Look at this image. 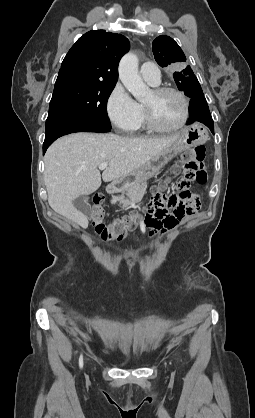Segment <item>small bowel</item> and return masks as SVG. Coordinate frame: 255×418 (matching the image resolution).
Segmentation results:
<instances>
[{
  "mask_svg": "<svg viewBox=\"0 0 255 418\" xmlns=\"http://www.w3.org/2000/svg\"><path fill=\"white\" fill-rule=\"evenodd\" d=\"M180 221H181V220H180ZM180 221H179V222H180ZM179 222H176V221H175L174 225H172L169 229L174 228V227H175V226H176ZM152 239L154 240L155 238L153 237ZM161 239L163 240L164 238L162 237ZM146 253H147V254H150V253H151V254H156V253H157V250H156V249H151V250H150V249H147V250H146Z\"/></svg>",
  "mask_w": 255,
  "mask_h": 418,
  "instance_id": "obj_1",
  "label": "small bowel"
}]
</instances>
